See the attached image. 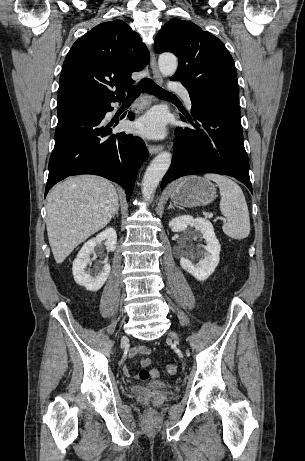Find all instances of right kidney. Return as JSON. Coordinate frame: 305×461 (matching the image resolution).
Wrapping results in <instances>:
<instances>
[{"label":"right kidney","mask_w":305,"mask_h":461,"mask_svg":"<svg viewBox=\"0 0 305 461\" xmlns=\"http://www.w3.org/2000/svg\"><path fill=\"white\" fill-rule=\"evenodd\" d=\"M104 240H106V249L108 251H114L116 249L117 233L114 228H107L95 238L88 240L73 261L72 272L74 280L88 291H98L105 284L111 271L110 264L107 262L104 263L102 269L97 272L95 276L85 271L87 265L91 264L90 254L94 251V247Z\"/></svg>","instance_id":"1"}]
</instances>
